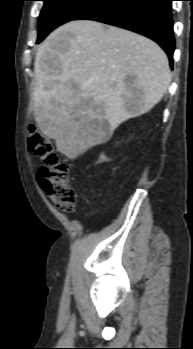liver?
<instances>
[{
  "mask_svg": "<svg viewBox=\"0 0 193 349\" xmlns=\"http://www.w3.org/2000/svg\"><path fill=\"white\" fill-rule=\"evenodd\" d=\"M34 71L35 120L71 159L149 112L171 81L168 58L154 41L85 20L53 31L37 50Z\"/></svg>",
  "mask_w": 193,
  "mask_h": 349,
  "instance_id": "1",
  "label": "liver"
}]
</instances>
